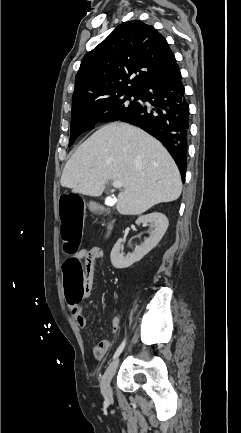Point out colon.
I'll return each mask as SVG.
<instances>
[{
  "instance_id": "colon-1",
  "label": "colon",
  "mask_w": 241,
  "mask_h": 433,
  "mask_svg": "<svg viewBox=\"0 0 241 433\" xmlns=\"http://www.w3.org/2000/svg\"><path fill=\"white\" fill-rule=\"evenodd\" d=\"M60 213L59 220L63 221L60 227L61 245L65 257H74L77 247L84 238L83 229L86 221L82 214H87L88 207L85 200H81L80 192L59 193ZM92 214H105V205H92ZM61 289H63L65 305H80L85 293L84 271L77 258L62 259Z\"/></svg>"
}]
</instances>
